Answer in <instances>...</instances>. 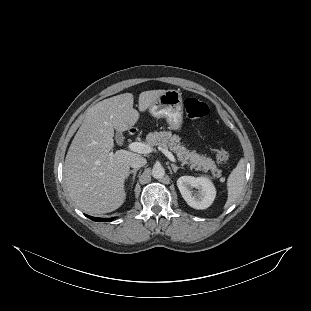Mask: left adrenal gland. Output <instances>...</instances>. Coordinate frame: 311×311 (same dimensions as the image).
Listing matches in <instances>:
<instances>
[{
	"label": "left adrenal gland",
	"mask_w": 311,
	"mask_h": 311,
	"mask_svg": "<svg viewBox=\"0 0 311 311\" xmlns=\"http://www.w3.org/2000/svg\"><path fill=\"white\" fill-rule=\"evenodd\" d=\"M171 167H172V170H173L174 173H176L179 169H183V167H178V166H176L174 164H171Z\"/></svg>",
	"instance_id": "obj_1"
}]
</instances>
